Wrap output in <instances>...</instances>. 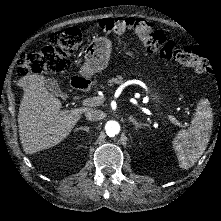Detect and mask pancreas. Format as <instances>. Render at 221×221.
I'll use <instances>...</instances> for the list:
<instances>
[{
    "label": "pancreas",
    "mask_w": 221,
    "mask_h": 221,
    "mask_svg": "<svg viewBox=\"0 0 221 221\" xmlns=\"http://www.w3.org/2000/svg\"><path fill=\"white\" fill-rule=\"evenodd\" d=\"M124 79V76L122 75H117L115 78H111L106 80L105 84H107L109 87H112L113 85L117 83H121Z\"/></svg>",
    "instance_id": "1"
}]
</instances>
